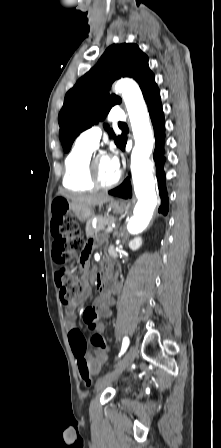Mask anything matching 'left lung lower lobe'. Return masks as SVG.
<instances>
[{
	"instance_id": "0a47b994",
	"label": "left lung lower lobe",
	"mask_w": 221,
	"mask_h": 448,
	"mask_svg": "<svg viewBox=\"0 0 221 448\" xmlns=\"http://www.w3.org/2000/svg\"><path fill=\"white\" fill-rule=\"evenodd\" d=\"M144 99L147 103L151 121L154 127L155 144L156 148L154 151V160L156 163V172L159 186V193L161 197V205L159 207V212L164 215L168 212V196L165 187V173L163 171V165L165 161L164 157V137H165V122L164 114L162 110V104L160 99V91L158 87L152 88L144 95ZM127 139L124 138L120 148L125 149ZM110 195L118 196L121 198H130L132 196L131 184L129 179H126L119 187L110 190Z\"/></svg>"
}]
</instances>
